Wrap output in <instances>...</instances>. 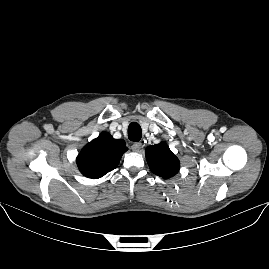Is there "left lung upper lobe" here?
<instances>
[{
	"label": "left lung upper lobe",
	"mask_w": 269,
	"mask_h": 269,
	"mask_svg": "<svg viewBox=\"0 0 269 269\" xmlns=\"http://www.w3.org/2000/svg\"><path fill=\"white\" fill-rule=\"evenodd\" d=\"M145 154L151 171L156 175L168 179L178 173L179 160L165 142L147 147Z\"/></svg>",
	"instance_id": "1"
}]
</instances>
